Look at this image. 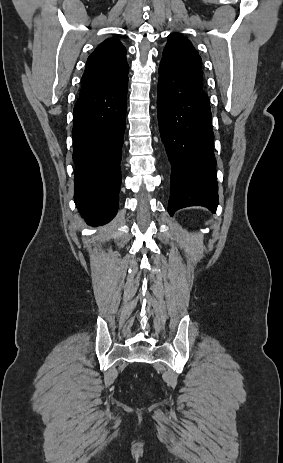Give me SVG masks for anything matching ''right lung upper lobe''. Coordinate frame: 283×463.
I'll return each instance as SVG.
<instances>
[{"label":"right lung upper lobe","instance_id":"obj_1","mask_svg":"<svg viewBox=\"0 0 283 463\" xmlns=\"http://www.w3.org/2000/svg\"><path fill=\"white\" fill-rule=\"evenodd\" d=\"M126 49L116 38H108L89 56L80 94L113 84L127 76Z\"/></svg>","mask_w":283,"mask_h":463}]
</instances>
